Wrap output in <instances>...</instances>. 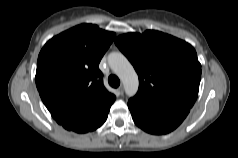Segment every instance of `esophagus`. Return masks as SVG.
I'll use <instances>...</instances> for the list:
<instances>
[{
	"label": "esophagus",
	"mask_w": 238,
	"mask_h": 158,
	"mask_svg": "<svg viewBox=\"0 0 238 158\" xmlns=\"http://www.w3.org/2000/svg\"><path fill=\"white\" fill-rule=\"evenodd\" d=\"M118 92H119L120 95H123V93H124V87H123V86H120V87L118 88Z\"/></svg>",
	"instance_id": "34e87169"
}]
</instances>
